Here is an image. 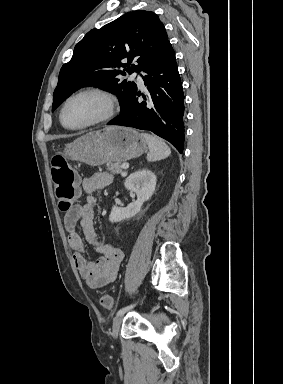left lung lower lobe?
<instances>
[{
    "mask_svg": "<svg viewBox=\"0 0 283 384\" xmlns=\"http://www.w3.org/2000/svg\"><path fill=\"white\" fill-rule=\"evenodd\" d=\"M148 101L138 102L137 89L125 109L108 125L149 130L169 141L182 153L184 134V93L175 52L168 42L159 56L143 70ZM143 98L146 97L143 95Z\"/></svg>",
    "mask_w": 283,
    "mask_h": 384,
    "instance_id": "left-lung-lower-lobe-1",
    "label": "left lung lower lobe"
}]
</instances>
